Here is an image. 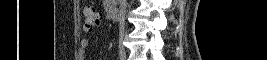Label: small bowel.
<instances>
[{
    "instance_id": "small-bowel-1",
    "label": "small bowel",
    "mask_w": 267,
    "mask_h": 60,
    "mask_svg": "<svg viewBox=\"0 0 267 60\" xmlns=\"http://www.w3.org/2000/svg\"><path fill=\"white\" fill-rule=\"evenodd\" d=\"M82 44L86 47L89 44V41L87 39L82 40Z\"/></svg>"
}]
</instances>
